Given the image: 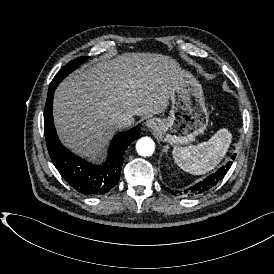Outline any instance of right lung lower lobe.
<instances>
[{
	"mask_svg": "<svg viewBox=\"0 0 274 274\" xmlns=\"http://www.w3.org/2000/svg\"><path fill=\"white\" fill-rule=\"evenodd\" d=\"M55 89L49 87L44 110V132L50 158L76 191L88 196L104 195L118 184L124 152L140 136L141 124L113 138L103 166L92 165L67 150L58 139L52 116Z\"/></svg>",
	"mask_w": 274,
	"mask_h": 274,
	"instance_id": "obj_1",
	"label": "right lung lower lobe"
}]
</instances>
